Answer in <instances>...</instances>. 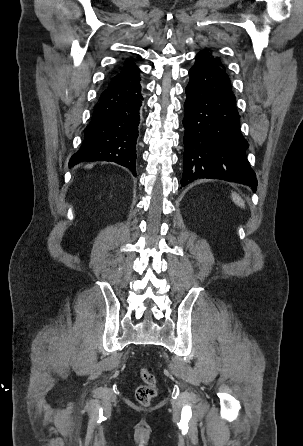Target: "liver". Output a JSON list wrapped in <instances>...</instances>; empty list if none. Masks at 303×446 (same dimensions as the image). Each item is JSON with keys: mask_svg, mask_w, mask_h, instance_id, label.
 Segmentation results:
<instances>
[{"mask_svg": "<svg viewBox=\"0 0 303 446\" xmlns=\"http://www.w3.org/2000/svg\"><path fill=\"white\" fill-rule=\"evenodd\" d=\"M85 167H86V168H92V167H93V164H88V165H86Z\"/></svg>", "mask_w": 303, "mask_h": 446, "instance_id": "liver-1", "label": "liver"}]
</instances>
